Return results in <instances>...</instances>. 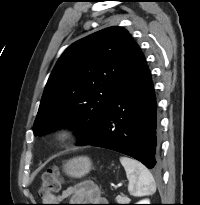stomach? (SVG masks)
Listing matches in <instances>:
<instances>
[{"label":"stomach","mask_w":200,"mask_h":205,"mask_svg":"<svg viewBox=\"0 0 200 205\" xmlns=\"http://www.w3.org/2000/svg\"><path fill=\"white\" fill-rule=\"evenodd\" d=\"M91 160L86 156H79L68 160L63 165V171L70 177L81 178L91 170Z\"/></svg>","instance_id":"obj_1"}]
</instances>
